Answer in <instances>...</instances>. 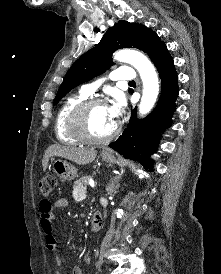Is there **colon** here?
I'll list each match as a JSON object with an SVG mask.
<instances>
[{
  "label": "colon",
  "mask_w": 221,
  "mask_h": 274,
  "mask_svg": "<svg viewBox=\"0 0 221 274\" xmlns=\"http://www.w3.org/2000/svg\"><path fill=\"white\" fill-rule=\"evenodd\" d=\"M55 185H56V180L53 176L51 175L45 176L40 182L41 193L45 197H50L53 194Z\"/></svg>",
  "instance_id": "colon-1"
}]
</instances>
